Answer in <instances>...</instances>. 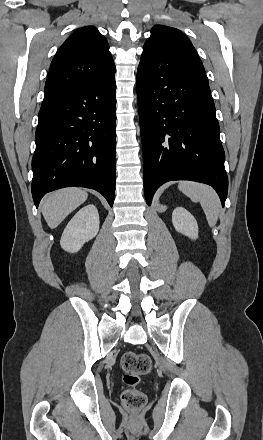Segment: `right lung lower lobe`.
Returning <instances> with one entry per match:
<instances>
[{
  "label": "right lung lower lobe",
  "instance_id": "right-lung-lower-lobe-1",
  "mask_svg": "<svg viewBox=\"0 0 263 440\" xmlns=\"http://www.w3.org/2000/svg\"><path fill=\"white\" fill-rule=\"evenodd\" d=\"M115 76V75H114ZM42 102L32 159L36 207L50 191L79 186L115 199V77Z\"/></svg>",
  "mask_w": 263,
  "mask_h": 440
}]
</instances>
